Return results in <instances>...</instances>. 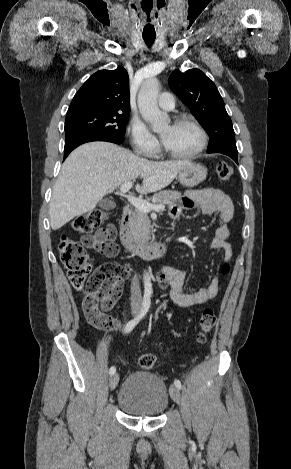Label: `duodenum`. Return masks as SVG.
Instances as JSON below:
<instances>
[{
	"label": "duodenum",
	"mask_w": 291,
	"mask_h": 469,
	"mask_svg": "<svg viewBox=\"0 0 291 469\" xmlns=\"http://www.w3.org/2000/svg\"><path fill=\"white\" fill-rule=\"evenodd\" d=\"M131 209L125 206L122 210L120 221V240L122 245L129 251L134 252L146 259L161 258L167 251V245L164 242L153 244H143L135 240L130 230Z\"/></svg>",
	"instance_id": "410a0bca"
}]
</instances>
